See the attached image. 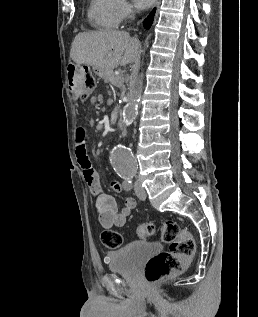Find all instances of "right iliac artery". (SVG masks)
<instances>
[{
  "mask_svg": "<svg viewBox=\"0 0 258 317\" xmlns=\"http://www.w3.org/2000/svg\"><path fill=\"white\" fill-rule=\"evenodd\" d=\"M123 188L126 191H130L132 189V182H131L130 178H124Z\"/></svg>",
  "mask_w": 258,
  "mask_h": 317,
  "instance_id": "82829eb1",
  "label": "right iliac artery"
}]
</instances>
